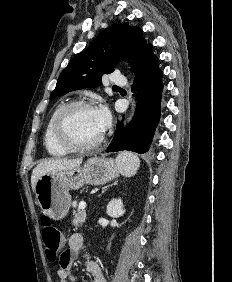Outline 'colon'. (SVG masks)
<instances>
[{"label":"colon","mask_w":232,"mask_h":282,"mask_svg":"<svg viewBox=\"0 0 232 282\" xmlns=\"http://www.w3.org/2000/svg\"><path fill=\"white\" fill-rule=\"evenodd\" d=\"M42 225V240L45 246L46 257L50 262H55L62 248V234L47 217H43Z\"/></svg>","instance_id":"5ec220e1"}]
</instances>
